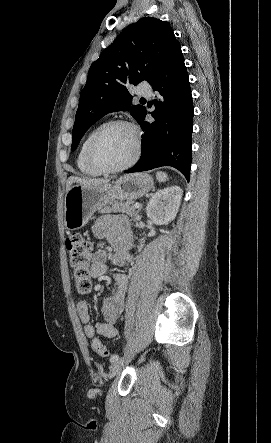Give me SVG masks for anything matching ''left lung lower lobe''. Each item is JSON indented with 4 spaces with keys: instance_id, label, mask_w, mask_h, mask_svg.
Here are the masks:
<instances>
[{
    "instance_id": "0a47b994",
    "label": "left lung lower lobe",
    "mask_w": 271,
    "mask_h": 443,
    "mask_svg": "<svg viewBox=\"0 0 271 443\" xmlns=\"http://www.w3.org/2000/svg\"><path fill=\"white\" fill-rule=\"evenodd\" d=\"M158 91L154 122H145L146 109L139 124L145 132L142 154L135 166L126 173L172 166L190 179L192 160L191 135L193 129V103L188 73L181 47H175L147 80Z\"/></svg>"
}]
</instances>
